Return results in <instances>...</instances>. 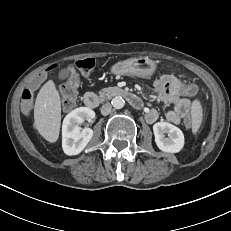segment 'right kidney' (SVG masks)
Here are the masks:
<instances>
[{"mask_svg":"<svg viewBox=\"0 0 231 231\" xmlns=\"http://www.w3.org/2000/svg\"><path fill=\"white\" fill-rule=\"evenodd\" d=\"M95 112L88 107H79L71 111L63 120L62 148L66 155L80 154L93 136L91 128L82 129L84 120L91 121Z\"/></svg>","mask_w":231,"mask_h":231,"instance_id":"right-kidney-1","label":"right kidney"}]
</instances>
